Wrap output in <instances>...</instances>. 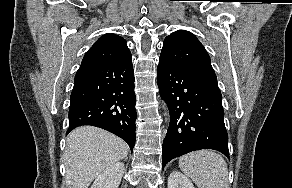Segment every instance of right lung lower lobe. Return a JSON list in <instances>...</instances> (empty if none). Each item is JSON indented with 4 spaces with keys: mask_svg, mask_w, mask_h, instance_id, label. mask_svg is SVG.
<instances>
[{
    "mask_svg": "<svg viewBox=\"0 0 292 188\" xmlns=\"http://www.w3.org/2000/svg\"><path fill=\"white\" fill-rule=\"evenodd\" d=\"M135 93L132 57L119 62L85 63L76 73L70 97L69 129L92 125L135 144Z\"/></svg>",
    "mask_w": 292,
    "mask_h": 188,
    "instance_id": "98d812e1",
    "label": "right lung lower lobe"
}]
</instances>
